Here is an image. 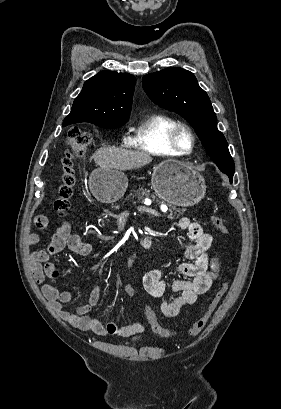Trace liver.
<instances>
[{"mask_svg": "<svg viewBox=\"0 0 281 409\" xmlns=\"http://www.w3.org/2000/svg\"><path fill=\"white\" fill-rule=\"evenodd\" d=\"M96 164L101 168H118V170H132L152 162V156L144 150H127V148H98L92 154Z\"/></svg>", "mask_w": 281, "mask_h": 409, "instance_id": "obj_1", "label": "liver"}]
</instances>
